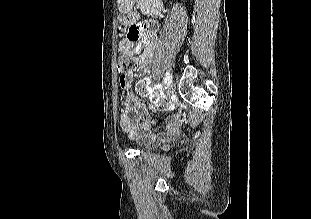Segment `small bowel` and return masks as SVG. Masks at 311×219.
<instances>
[{
  "label": "small bowel",
  "instance_id": "1",
  "mask_svg": "<svg viewBox=\"0 0 311 219\" xmlns=\"http://www.w3.org/2000/svg\"><path fill=\"white\" fill-rule=\"evenodd\" d=\"M148 11L152 10L148 9ZM141 42L144 45V52L140 57H134L136 63L140 67V84L145 83L147 80L146 75L150 70V63L153 59L156 47V39L152 35V32L148 30ZM132 48L133 41L127 38L119 43L118 49L121 54L132 56ZM132 78L133 73L131 71L127 74V85L124 89L130 87ZM141 95L142 94L133 91H129L126 94L124 107L120 114V124L123 131L131 138H137L150 143L176 135L178 133V128L171 117L166 119V129L151 133V116L141 99ZM146 96H149L153 101L159 98V94L155 93L152 87H148Z\"/></svg>",
  "mask_w": 311,
  "mask_h": 219
}]
</instances>
